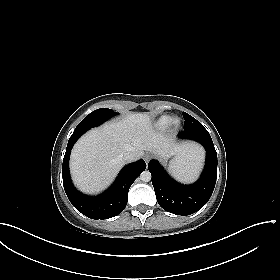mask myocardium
<instances>
[{
  "mask_svg": "<svg viewBox=\"0 0 280 280\" xmlns=\"http://www.w3.org/2000/svg\"><path fill=\"white\" fill-rule=\"evenodd\" d=\"M180 126V119L177 117H174L170 120V127L173 129H178Z\"/></svg>",
  "mask_w": 280,
  "mask_h": 280,
  "instance_id": "obj_1",
  "label": "myocardium"
}]
</instances>
